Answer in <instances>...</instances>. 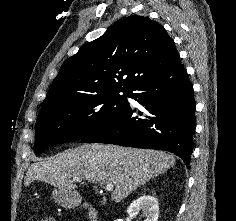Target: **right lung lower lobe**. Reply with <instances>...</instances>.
Returning <instances> with one entry per match:
<instances>
[{
  "instance_id": "98d812e1",
  "label": "right lung lower lobe",
  "mask_w": 236,
  "mask_h": 221,
  "mask_svg": "<svg viewBox=\"0 0 236 221\" xmlns=\"http://www.w3.org/2000/svg\"><path fill=\"white\" fill-rule=\"evenodd\" d=\"M129 97L143 106L144 111L138 112L140 116H133L137 110L127 102L81 142L166 150L178 155L188 167L196 105L193 86L179 55L164 69L132 87Z\"/></svg>"
}]
</instances>
